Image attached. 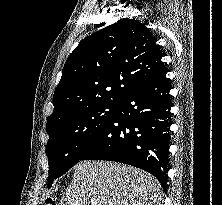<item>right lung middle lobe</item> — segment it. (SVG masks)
Returning a JSON list of instances; mask_svg holds the SVG:
<instances>
[{"label": "right lung middle lobe", "mask_w": 222, "mask_h": 205, "mask_svg": "<svg viewBox=\"0 0 222 205\" xmlns=\"http://www.w3.org/2000/svg\"><path fill=\"white\" fill-rule=\"evenodd\" d=\"M119 104L117 101L91 105L47 125L48 187L81 159L90 142L109 123Z\"/></svg>", "instance_id": "1"}]
</instances>
